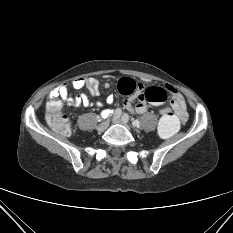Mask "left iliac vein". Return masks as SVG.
<instances>
[{"label": "left iliac vein", "mask_w": 233, "mask_h": 233, "mask_svg": "<svg viewBox=\"0 0 233 233\" xmlns=\"http://www.w3.org/2000/svg\"><path fill=\"white\" fill-rule=\"evenodd\" d=\"M112 121L113 123L122 124L126 127H129L128 122L124 121L122 118H114Z\"/></svg>", "instance_id": "4c4485c4"}]
</instances>
